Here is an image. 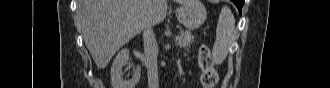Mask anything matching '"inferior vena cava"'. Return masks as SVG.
I'll list each match as a JSON object with an SVG mask.
<instances>
[{"label": "inferior vena cava", "mask_w": 330, "mask_h": 88, "mask_svg": "<svg viewBox=\"0 0 330 88\" xmlns=\"http://www.w3.org/2000/svg\"><path fill=\"white\" fill-rule=\"evenodd\" d=\"M143 42L145 65L148 72V88H159L157 67L158 44L151 24L145 25L143 29Z\"/></svg>", "instance_id": "inferior-vena-cava-1"}]
</instances>
